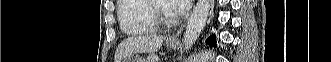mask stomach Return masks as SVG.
<instances>
[{"instance_id": "0dacf381", "label": "stomach", "mask_w": 331, "mask_h": 62, "mask_svg": "<svg viewBox=\"0 0 331 62\" xmlns=\"http://www.w3.org/2000/svg\"><path fill=\"white\" fill-rule=\"evenodd\" d=\"M167 46L170 48L176 47L177 43L176 42H169L167 41ZM122 62H147L145 61L141 56L139 55H130L123 59Z\"/></svg>"}]
</instances>
